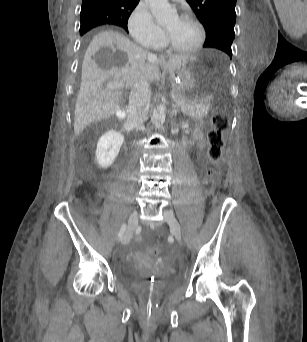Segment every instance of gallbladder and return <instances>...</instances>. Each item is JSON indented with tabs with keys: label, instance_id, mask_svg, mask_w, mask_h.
<instances>
[{
	"label": "gallbladder",
	"instance_id": "bac80fb5",
	"mask_svg": "<svg viewBox=\"0 0 307 342\" xmlns=\"http://www.w3.org/2000/svg\"><path fill=\"white\" fill-rule=\"evenodd\" d=\"M118 113L120 112V117L121 118H126L127 117V108L126 107H121L120 109L118 108L117 110H116Z\"/></svg>",
	"mask_w": 307,
	"mask_h": 342
}]
</instances>
